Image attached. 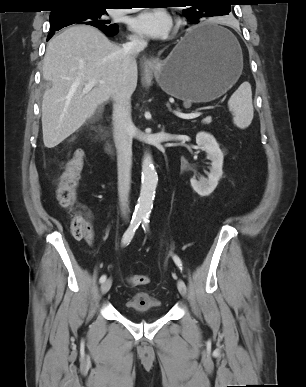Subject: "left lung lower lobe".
Listing matches in <instances>:
<instances>
[{
  "label": "left lung lower lobe",
  "mask_w": 306,
  "mask_h": 387,
  "mask_svg": "<svg viewBox=\"0 0 306 387\" xmlns=\"http://www.w3.org/2000/svg\"><path fill=\"white\" fill-rule=\"evenodd\" d=\"M223 34H224L223 32L214 31V30H209L206 32H199V33L197 32L189 36L188 42L195 43L197 41H201L208 38H223Z\"/></svg>",
  "instance_id": "1"
}]
</instances>
